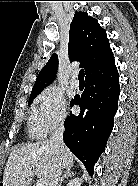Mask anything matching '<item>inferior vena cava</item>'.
<instances>
[{
  "label": "inferior vena cava",
  "instance_id": "obj_1",
  "mask_svg": "<svg viewBox=\"0 0 138 186\" xmlns=\"http://www.w3.org/2000/svg\"><path fill=\"white\" fill-rule=\"evenodd\" d=\"M64 124L61 123L55 131L52 133L49 143L54 149L57 157H58V163L55 165V169L53 170L49 182V186H58V182L60 180L63 165H62V159H63V151H64V142H63V133H64Z\"/></svg>",
  "mask_w": 138,
  "mask_h": 186
}]
</instances>
